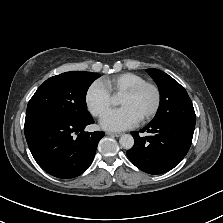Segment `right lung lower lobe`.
Instances as JSON below:
<instances>
[{
	"label": "right lung lower lobe",
	"instance_id": "1",
	"mask_svg": "<svg viewBox=\"0 0 223 223\" xmlns=\"http://www.w3.org/2000/svg\"><path fill=\"white\" fill-rule=\"evenodd\" d=\"M92 123L93 118L85 122L44 121L25 126L24 132L38 165L52 176L69 179L89 167L98 142L104 136V132H84Z\"/></svg>",
	"mask_w": 223,
	"mask_h": 223
}]
</instances>
